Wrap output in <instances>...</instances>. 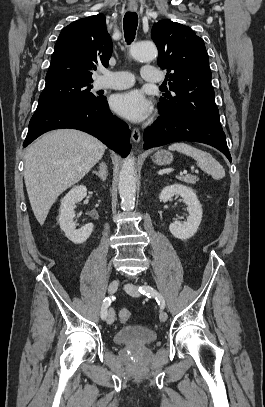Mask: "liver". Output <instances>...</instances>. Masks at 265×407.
I'll list each match as a JSON object with an SVG mask.
<instances>
[{
  "label": "liver",
  "instance_id": "liver-1",
  "mask_svg": "<svg viewBox=\"0 0 265 407\" xmlns=\"http://www.w3.org/2000/svg\"><path fill=\"white\" fill-rule=\"evenodd\" d=\"M104 152L102 142L75 129L47 133L26 149L24 180L40 225L59 195L79 182Z\"/></svg>",
  "mask_w": 265,
  "mask_h": 407
}]
</instances>
